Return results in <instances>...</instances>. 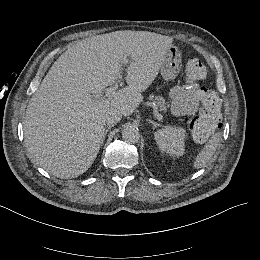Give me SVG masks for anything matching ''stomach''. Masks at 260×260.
<instances>
[{"instance_id": "obj_1", "label": "stomach", "mask_w": 260, "mask_h": 260, "mask_svg": "<svg viewBox=\"0 0 260 260\" xmlns=\"http://www.w3.org/2000/svg\"><path fill=\"white\" fill-rule=\"evenodd\" d=\"M167 57L160 67V73L165 81H173L180 72L183 50L179 46H171L167 50Z\"/></svg>"}]
</instances>
